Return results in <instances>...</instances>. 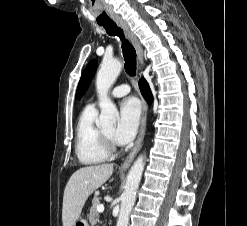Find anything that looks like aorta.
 I'll list each match as a JSON object with an SVG mask.
<instances>
[{
    "mask_svg": "<svg viewBox=\"0 0 247 226\" xmlns=\"http://www.w3.org/2000/svg\"><path fill=\"white\" fill-rule=\"evenodd\" d=\"M122 64L118 60L103 61L97 73L96 89L99 98L101 114L98 126L105 127L114 125L118 117V110L108 97V91L120 74ZM145 162L144 155H140L132 165L125 184L124 193L121 197V208L116 226H127L129 214L135 203L136 191L139 187Z\"/></svg>",
    "mask_w": 247,
    "mask_h": 226,
    "instance_id": "obj_1",
    "label": "aorta"
}]
</instances>
